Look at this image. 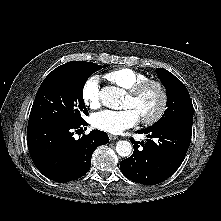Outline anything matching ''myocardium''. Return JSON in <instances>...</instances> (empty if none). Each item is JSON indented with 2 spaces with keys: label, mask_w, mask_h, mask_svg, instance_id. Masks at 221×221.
Returning a JSON list of instances; mask_svg holds the SVG:
<instances>
[{
  "label": "myocardium",
  "mask_w": 221,
  "mask_h": 221,
  "mask_svg": "<svg viewBox=\"0 0 221 221\" xmlns=\"http://www.w3.org/2000/svg\"><path fill=\"white\" fill-rule=\"evenodd\" d=\"M149 87H155L158 90L160 94V103L155 113L151 116L141 118V122L146 125H151L159 121L167 109L168 92L165 85L159 80L146 79L128 90V95L130 97L137 98Z\"/></svg>",
  "instance_id": "myocardium-1"
}]
</instances>
